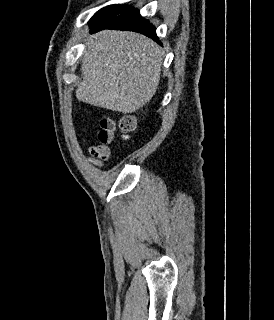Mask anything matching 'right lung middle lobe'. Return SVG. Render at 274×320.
Here are the masks:
<instances>
[{
  "mask_svg": "<svg viewBox=\"0 0 274 320\" xmlns=\"http://www.w3.org/2000/svg\"><path fill=\"white\" fill-rule=\"evenodd\" d=\"M119 5H109L106 6L104 8H102L101 10H99L89 21V24L99 20L100 18H102L103 16L109 14L111 11H113L116 7H118Z\"/></svg>",
  "mask_w": 274,
  "mask_h": 320,
  "instance_id": "1",
  "label": "right lung middle lobe"
}]
</instances>
